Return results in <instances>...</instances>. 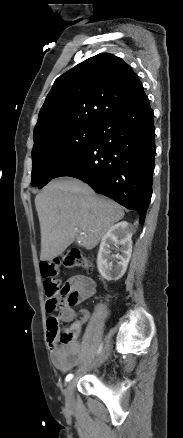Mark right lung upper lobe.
Masks as SVG:
<instances>
[{"label": "right lung upper lobe", "mask_w": 183, "mask_h": 438, "mask_svg": "<svg viewBox=\"0 0 183 438\" xmlns=\"http://www.w3.org/2000/svg\"><path fill=\"white\" fill-rule=\"evenodd\" d=\"M146 97L138 76L121 58L95 55L54 82L39 112L34 140L78 126H97Z\"/></svg>", "instance_id": "right-lung-upper-lobe-1"}]
</instances>
